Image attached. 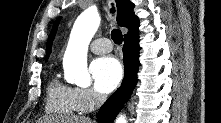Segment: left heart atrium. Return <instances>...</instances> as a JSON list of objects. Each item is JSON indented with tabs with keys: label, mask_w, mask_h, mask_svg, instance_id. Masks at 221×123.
<instances>
[{
	"label": "left heart atrium",
	"mask_w": 221,
	"mask_h": 123,
	"mask_svg": "<svg viewBox=\"0 0 221 123\" xmlns=\"http://www.w3.org/2000/svg\"><path fill=\"white\" fill-rule=\"evenodd\" d=\"M90 71L96 88L103 93H109L116 88L123 76L121 63L112 56L95 59Z\"/></svg>",
	"instance_id": "39dd6f15"
}]
</instances>
